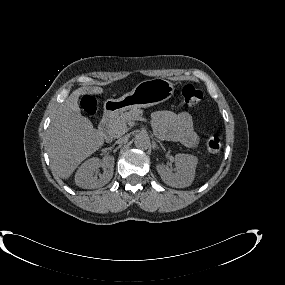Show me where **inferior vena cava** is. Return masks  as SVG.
Returning <instances> with one entry per match:
<instances>
[{
    "instance_id": "602c4592",
    "label": "inferior vena cava",
    "mask_w": 285,
    "mask_h": 285,
    "mask_svg": "<svg viewBox=\"0 0 285 285\" xmlns=\"http://www.w3.org/2000/svg\"><path fill=\"white\" fill-rule=\"evenodd\" d=\"M129 142V137L126 134H121L116 141L117 144L126 145Z\"/></svg>"
}]
</instances>
